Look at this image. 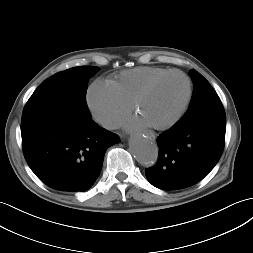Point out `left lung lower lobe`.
Here are the masks:
<instances>
[{"instance_id": "0a47b994", "label": "left lung lower lobe", "mask_w": 253, "mask_h": 253, "mask_svg": "<svg viewBox=\"0 0 253 253\" xmlns=\"http://www.w3.org/2000/svg\"><path fill=\"white\" fill-rule=\"evenodd\" d=\"M225 130V116L180 120L157 138L159 157L154 167L146 169L148 181L162 190H178L198 183L219 161Z\"/></svg>"}]
</instances>
